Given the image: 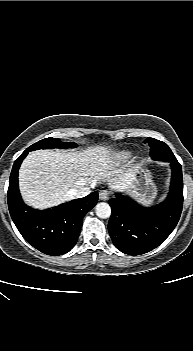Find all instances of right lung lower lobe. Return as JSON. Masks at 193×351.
I'll return each instance as SVG.
<instances>
[{
    "label": "right lung lower lobe",
    "mask_w": 193,
    "mask_h": 351,
    "mask_svg": "<svg viewBox=\"0 0 193 351\" xmlns=\"http://www.w3.org/2000/svg\"><path fill=\"white\" fill-rule=\"evenodd\" d=\"M24 151L14 162L8 188L12 220L23 238L44 254L59 256L69 252L79 237L84 215L97 203L98 193L43 211L26 206L18 188V169L27 156Z\"/></svg>",
    "instance_id": "1"
}]
</instances>
